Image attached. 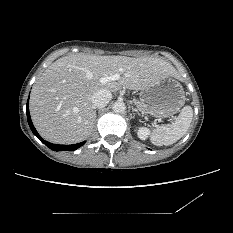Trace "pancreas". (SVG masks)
I'll list each match as a JSON object with an SVG mask.
<instances>
[{
    "instance_id": "1",
    "label": "pancreas",
    "mask_w": 233,
    "mask_h": 233,
    "mask_svg": "<svg viewBox=\"0 0 233 233\" xmlns=\"http://www.w3.org/2000/svg\"><path fill=\"white\" fill-rule=\"evenodd\" d=\"M138 106L140 110L145 111L140 102L138 103Z\"/></svg>"
}]
</instances>
